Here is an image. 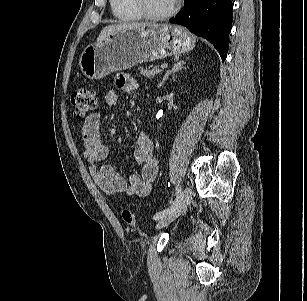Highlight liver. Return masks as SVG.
I'll return each instance as SVG.
<instances>
[{"label": "liver", "instance_id": "obj_1", "mask_svg": "<svg viewBox=\"0 0 307 301\" xmlns=\"http://www.w3.org/2000/svg\"><path fill=\"white\" fill-rule=\"evenodd\" d=\"M152 24L148 23H121L116 25H108L106 26L100 33L97 41H103L107 38L110 34L114 33L115 31L123 30V29H138L142 27H146Z\"/></svg>", "mask_w": 307, "mask_h": 301}]
</instances>
